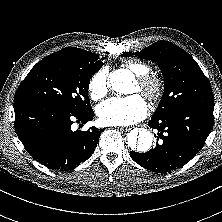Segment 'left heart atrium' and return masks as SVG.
<instances>
[{"label": "left heart atrium", "mask_w": 222, "mask_h": 222, "mask_svg": "<svg viewBox=\"0 0 222 222\" xmlns=\"http://www.w3.org/2000/svg\"><path fill=\"white\" fill-rule=\"evenodd\" d=\"M148 112L144 98L139 94L114 97L96 108L99 120L106 125L125 126L142 120Z\"/></svg>", "instance_id": "left-heart-atrium-1"}]
</instances>
